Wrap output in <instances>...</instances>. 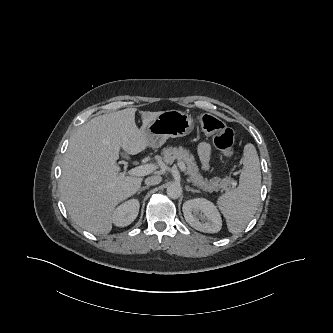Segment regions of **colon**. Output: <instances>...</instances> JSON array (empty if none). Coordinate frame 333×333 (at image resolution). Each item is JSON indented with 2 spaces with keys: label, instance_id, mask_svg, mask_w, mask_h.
Listing matches in <instances>:
<instances>
[{
  "label": "colon",
  "instance_id": "colon-1",
  "mask_svg": "<svg viewBox=\"0 0 333 333\" xmlns=\"http://www.w3.org/2000/svg\"><path fill=\"white\" fill-rule=\"evenodd\" d=\"M199 123L205 132L213 135L214 145L218 150L227 156L233 153L234 132L232 129L210 114L200 115Z\"/></svg>",
  "mask_w": 333,
  "mask_h": 333
}]
</instances>
